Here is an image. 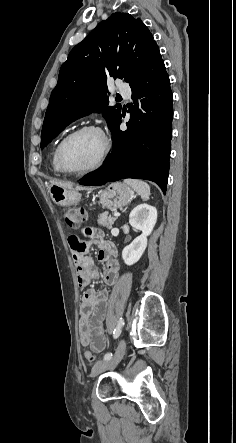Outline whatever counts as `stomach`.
Here are the masks:
<instances>
[{"label":"stomach","mask_w":236,"mask_h":443,"mask_svg":"<svg viewBox=\"0 0 236 443\" xmlns=\"http://www.w3.org/2000/svg\"><path fill=\"white\" fill-rule=\"evenodd\" d=\"M49 193L54 203L59 206L77 205L81 200V194L77 190L58 185H51ZM133 198L134 191L129 185L121 182L108 185L100 194L102 206L110 210L126 206Z\"/></svg>","instance_id":"stomach-1"}]
</instances>
